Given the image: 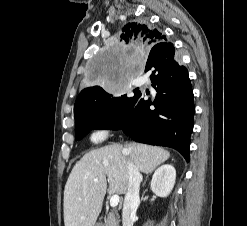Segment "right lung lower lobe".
<instances>
[{"instance_id":"right-lung-lower-lobe-1","label":"right lung lower lobe","mask_w":247,"mask_h":226,"mask_svg":"<svg viewBox=\"0 0 247 226\" xmlns=\"http://www.w3.org/2000/svg\"><path fill=\"white\" fill-rule=\"evenodd\" d=\"M174 53L167 42L152 46L145 72H152L150 79L157 94L145 101L140 91H134L97 129H122L137 142L172 147L189 162L193 91L188 71Z\"/></svg>"}]
</instances>
